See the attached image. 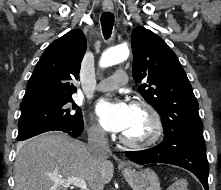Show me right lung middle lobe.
Here are the masks:
<instances>
[{
    "mask_svg": "<svg viewBox=\"0 0 221 190\" xmlns=\"http://www.w3.org/2000/svg\"><path fill=\"white\" fill-rule=\"evenodd\" d=\"M18 122V141L48 131L77 130L84 126L81 109L71 97L23 105Z\"/></svg>",
    "mask_w": 221,
    "mask_h": 190,
    "instance_id": "right-lung-middle-lobe-1",
    "label": "right lung middle lobe"
}]
</instances>
